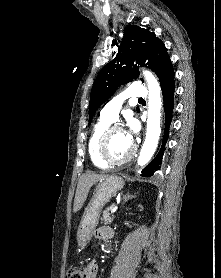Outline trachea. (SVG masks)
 Wrapping results in <instances>:
<instances>
[{
    "label": "trachea",
    "mask_w": 221,
    "mask_h": 278,
    "mask_svg": "<svg viewBox=\"0 0 221 278\" xmlns=\"http://www.w3.org/2000/svg\"><path fill=\"white\" fill-rule=\"evenodd\" d=\"M139 101H144L143 99H139Z\"/></svg>",
    "instance_id": "trachea-1"
}]
</instances>
